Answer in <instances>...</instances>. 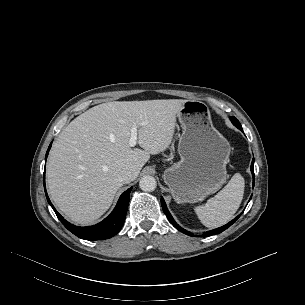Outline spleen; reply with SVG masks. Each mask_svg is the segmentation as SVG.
I'll list each match as a JSON object with an SVG mask.
<instances>
[{"mask_svg": "<svg viewBox=\"0 0 305 305\" xmlns=\"http://www.w3.org/2000/svg\"><path fill=\"white\" fill-rule=\"evenodd\" d=\"M244 187V178L239 173L234 174L228 184L205 205L195 207L201 223L216 228L230 221L242 202Z\"/></svg>", "mask_w": 305, "mask_h": 305, "instance_id": "spleen-1", "label": "spleen"}]
</instances>
